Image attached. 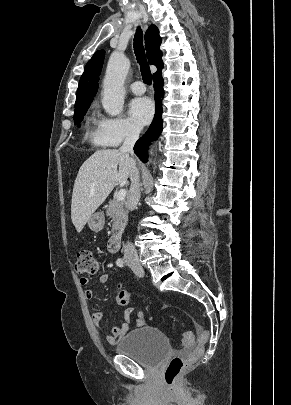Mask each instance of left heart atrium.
Here are the masks:
<instances>
[{
    "label": "left heart atrium",
    "instance_id": "obj_1",
    "mask_svg": "<svg viewBox=\"0 0 291 405\" xmlns=\"http://www.w3.org/2000/svg\"><path fill=\"white\" fill-rule=\"evenodd\" d=\"M131 119L139 126L146 125L154 113V106L149 98L141 97L131 101L129 106Z\"/></svg>",
    "mask_w": 291,
    "mask_h": 405
}]
</instances>
